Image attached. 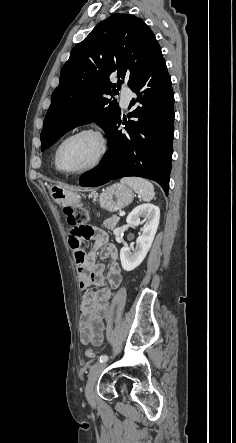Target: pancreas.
<instances>
[{"instance_id":"obj_1","label":"pancreas","mask_w":236,"mask_h":443,"mask_svg":"<svg viewBox=\"0 0 236 443\" xmlns=\"http://www.w3.org/2000/svg\"><path fill=\"white\" fill-rule=\"evenodd\" d=\"M119 220H120V218L118 216L114 215L111 218L106 219L103 222L102 226L108 228L109 230H113L116 227V225L118 224Z\"/></svg>"}]
</instances>
